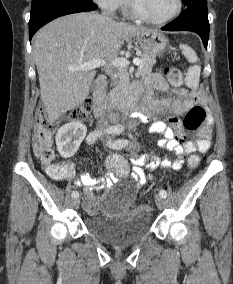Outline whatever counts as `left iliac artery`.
Masks as SVG:
<instances>
[{
	"label": "left iliac artery",
	"mask_w": 233,
	"mask_h": 284,
	"mask_svg": "<svg viewBox=\"0 0 233 284\" xmlns=\"http://www.w3.org/2000/svg\"><path fill=\"white\" fill-rule=\"evenodd\" d=\"M120 132H121V130H117L116 133H120ZM108 143H109L110 147H112L114 149H120V148L125 147L128 144V141L127 140H116L114 142L109 141ZM159 194L163 198L167 197V192L163 189L160 190Z\"/></svg>",
	"instance_id": "obj_1"
}]
</instances>
